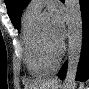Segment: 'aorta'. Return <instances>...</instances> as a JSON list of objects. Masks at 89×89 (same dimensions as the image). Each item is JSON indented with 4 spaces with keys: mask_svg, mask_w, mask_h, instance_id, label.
<instances>
[{
    "mask_svg": "<svg viewBox=\"0 0 89 89\" xmlns=\"http://www.w3.org/2000/svg\"><path fill=\"white\" fill-rule=\"evenodd\" d=\"M68 23V68L65 78V89H75V79L82 49V16L79 0H65ZM43 22L49 21L47 12L39 18Z\"/></svg>",
    "mask_w": 89,
    "mask_h": 89,
    "instance_id": "762f6f07",
    "label": "aorta"
}]
</instances>
